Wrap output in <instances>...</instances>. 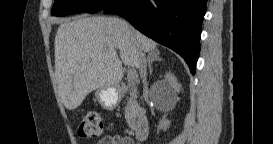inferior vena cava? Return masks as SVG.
Listing matches in <instances>:
<instances>
[{"mask_svg": "<svg viewBox=\"0 0 273 144\" xmlns=\"http://www.w3.org/2000/svg\"><path fill=\"white\" fill-rule=\"evenodd\" d=\"M137 58H138V68L140 77L143 81V83L146 85L147 80V66H146V58L142 51L137 52Z\"/></svg>", "mask_w": 273, "mask_h": 144, "instance_id": "obj_1", "label": "inferior vena cava"}]
</instances>
